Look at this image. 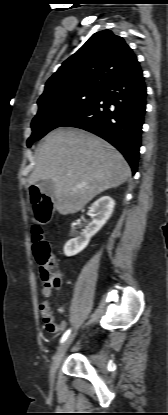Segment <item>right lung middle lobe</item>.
<instances>
[{
    "mask_svg": "<svg viewBox=\"0 0 168 415\" xmlns=\"http://www.w3.org/2000/svg\"><path fill=\"white\" fill-rule=\"evenodd\" d=\"M102 93L103 89H84L38 104V113L32 120V135L27 140V146L31 147L33 142L49 131L61 127L97 101Z\"/></svg>",
    "mask_w": 168,
    "mask_h": 415,
    "instance_id": "1",
    "label": "right lung middle lobe"
}]
</instances>
